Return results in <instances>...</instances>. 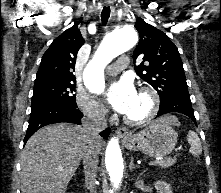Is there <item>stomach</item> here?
<instances>
[{"label":"stomach","mask_w":221,"mask_h":193,"mask_svg":"<svg viewBox=\"0 0 221 193\" xmlns=\"http://www.w3.org/2000/svg\"><path fill=\"white\" fill-rule=\"evenodd\" d=\"M123 143L129 150L141 151L150 157H163L175 148L177 133L170 124L157 119L143 130L129 134Z\"/></svg>","instance_id":"1"}]
</instances>
